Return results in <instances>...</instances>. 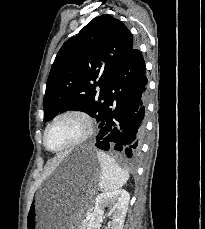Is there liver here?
<instances>
[{
	"label": "liver",
	"instance_id": "6515ba94",
	"mask_svg": "<svg viewBox=\"0 0 205 229\" xmlns=\"http://www.w3.org/2000/svg\"><path fill=\"white\" fill-rule=\"evenodd\" d=\"M62 158H63V156H59V158H58L57 160H55V161L51 164L50 169H54V168L58 165V163L60 162V159H62Z\"/></svg>",
	"mask_w": 205,
	"mask_h": 229
}]
</instances>
